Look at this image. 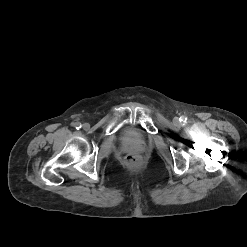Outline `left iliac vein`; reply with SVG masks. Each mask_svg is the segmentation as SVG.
Wrapping results in <instances>:
<instances>
[{
    "mask_svg": "<svg viewBox=\"0 0 247 247\" xmlns=\"http://www.w3.org/2000/svg\"><path fill=\"white\" fill-rule=\"evenodd\" d=\"M174 121H175V122H178V118H175Z\"/></svg>",
    "mask_w": 247,
    "mask_h": 247,
    "instance_id": "left-iliac-vein-1",
    "label": "left iliac vein"
}]
</instances>
